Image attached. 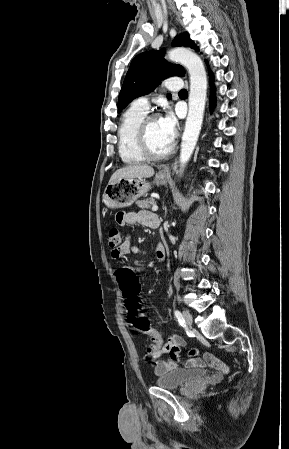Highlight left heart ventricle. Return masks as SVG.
I'll list each match as a JSON object with an SVG mask.
<instances>
[{"mask_svg":"<svg viewBox=\"0 0 289 449\" xmlns=\"http://www.w3.org/2000/svg\"><path fill=\"white\" fill-rule=\"evenodd\" d=\"M148 142L150 149L161 154L166 152L173 143V140L166 133L161 125L160 119L154 120L148 128Z\"/></svg>","mask_w":289,"mask_h":449,"instance_id":"obj_1","label":"left heart ventricle"}]
</instances>
